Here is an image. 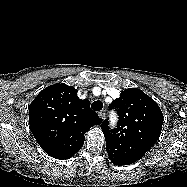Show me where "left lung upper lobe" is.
Returning a JSON list of instances; mask_svg holds the SVG:
<instances>
[{
  "instance_id": "1",
  "label": "left lung upper lobe",
  "mask_w": 187,
  "mask_h": 187,
  "mask_svg": "<svg viewBox=\"0 0 187 187\" xmlns=\"http://www.w3.org/2000/svg\"><path fill=\"white\" fill-rule=\"evenodd\" d=\"M109 109H116L117 128L110 129L108 119L101 124L106 149L134 163L158 140L163 114L158 104L139 89L129 88L112 101Z\"/></svg>"
}]
</instances>
